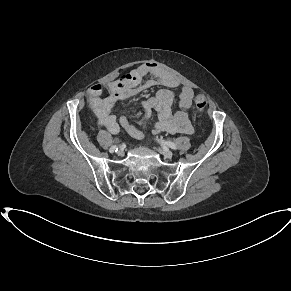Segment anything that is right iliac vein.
<instances>
[{
    "label": "right iliac vein",
    "instance_id": "right-iliac-vein-1",
    "mask_svg": "<svg viewBox=\"0 0 291 291\" xmlns=\"http://www.w3.org/2000/svg\"><path fill=\"white\" fill-rule=\"evenodd\" d=\"M117 153L120 155V154L123 153V150L122 149H119Z\"/></svg>",
    "mask_w": 291,
    "mask_h": 291
}]
</instances>
